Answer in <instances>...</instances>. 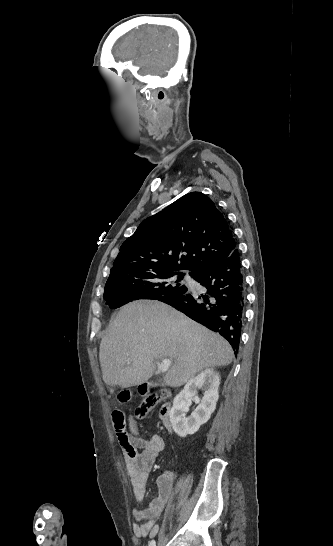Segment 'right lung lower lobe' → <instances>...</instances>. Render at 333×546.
Masks as SVG:
<instances>
[{
  "instance_id": "obj_1",
  "label": "right lung lower lobe",
  "mask_w": 333,
  "mask_h": 546,
  "mask_svg": "<svg viewBox=\"0 0 333 546\" xmlns=\"http://www.w3.org/2000/svg\"><path fill=\"white\" fill-rule=\"evenodd\" d=\"M207 291L159 298L189 318L219 333L232 346L240 345L244 321L245 283L238 250L194 275Z\"/></svg>"
}]
</instances>
